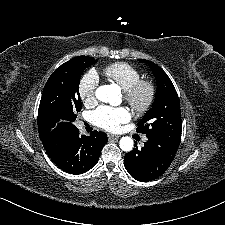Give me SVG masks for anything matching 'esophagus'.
I'll return each mask as SVG.
<instances>
[{"label":"esophagus","mask_w":225,"mask_h":225,"mask_svg":"<svg viewBox=\"0 0 225 225\" xmlns=\"http://www.w3.org/2000/svg\"><path fill=\"white\" fill-rule=\"evenodd\" d=\"M108 139L109 140H118L119 136L118 135H114V134H108Z\"/></svg>","instance_id":"34e87169"}]
</instances>
